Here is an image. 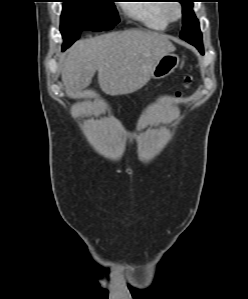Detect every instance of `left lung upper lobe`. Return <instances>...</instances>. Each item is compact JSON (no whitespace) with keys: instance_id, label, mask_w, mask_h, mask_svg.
Returning a JSON list of instances; mask_svg holds the SVG:
<instances>
[{"instance_id":"1","label":"left lung upper lobe","mask_w":248,"mask_h":299,"mask_svg":"<svg viewBox=\"0 0 248 299\" xmlns=\"http://www.w3.org/2000/svg\"><path fill=\"white\" fill-rule=\"evenodd\" d=\"M193 1L194 0H178L183 7V28L180 37L194 45L203 53L202 34L199 28V22L193 12Z\"/></svg>"}]
</instances>
